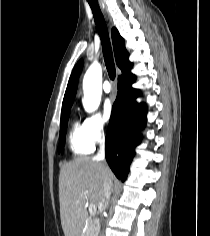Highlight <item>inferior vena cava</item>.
Returning <instances> with one entry per match:
<instances>
[{"label":"inferior vena cava","mask_w":210,"mask_h":236,"mask_svg":"<svg viewBox=\"0 0 210 236\" xmlns=\"http://www.w3.org/2000/svg\"><path fill=\"white\" fill-rule=\"evenodd\" d=\"M97 159L100 162H104V139L103 138L100 140V149L97 153ZM103 191H104V197L102 201L105 204L104 205V208H105L107 207V204L110 199L111 192H112V182L105 180ZM101 222L102 224H104V219L102 216H101Z\"/></svg>","instance_id":"obj_1"}]
</instances>
